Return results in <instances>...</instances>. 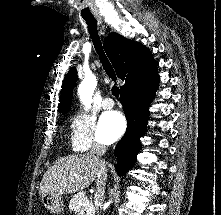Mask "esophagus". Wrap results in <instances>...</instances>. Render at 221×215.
Here are the masks:
<instances>
[{"mask_svg":"<svg viewBox=\"0 0 221 215\" xmlns=\"http://www.w3.org/2000/svg\"><path fill=\"white\" fill-rule=\"evenodd\" d=\"M99 24L101 25V27H100L101 34L105 35L106 34V29H105L104 26H102V22L100 20H99Z\"/></svg>","mask_w":221,"mask_h":215,"instance_id":"34e87169","label":"esophagus"}]
</instances>
